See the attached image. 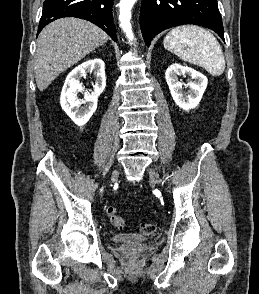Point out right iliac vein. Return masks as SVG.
Listing matches in <instances>:
<instances>
[{
  "label": "right iliac vein",
  "instance_id": "1",
  "mask_svg": "<svg viewBox=\"0 0 259 294\" xmlns=\"http://www.w3.org/2000/svg\"><path fill=\"white\" fill-rule=\"evenodd\" d=\"M118 176H119V171L118 170H114L111 174V178H110V183L111 185L113 183H115L118 180Z\"/></svg>",
  "mask_w": 259,
  "mask_h": 294
}]
</instances>
